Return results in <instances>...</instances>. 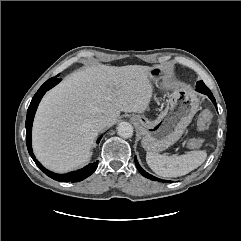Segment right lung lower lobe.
<instances>
[{
  "instance_id": "obj_1",
  "label": "right lung lower lobe",
  "mask_w": 241,
  "mask_h": 241,
  "mask_svg": "<svg viewBox=\"0 0 241 241\" xmlns=\"http://www.w3.org/2000/svg\"><path fill=\"white\" fill-rule=\"evenodd\" d=\"M60 81H61V79H59V78L57 79L56 77L50 78L39 88L37 93L32 98V101H31L28 111H27V117H26V143H27V148H28V152H29L30 156L32 157V159L34 160L36 165L47 176H49L52 179H55L57 181H60V182H79V181H82L83 179L87 178L88 176H90L97 169L98 161H96L94 163H90L89 165H87L84 168L77 170V171H73V172H70L67 174H56V173H53V172L47 170L46 168H44L37 161V159L35 158V156L33 154L32 147H31L32 123H33L34 115H35L36 109L38 107V104H39L41 98L43 97V95L45 94V92L47 90L51 89L52 87H54ZM100 139H101V137L98 139L97 142H99Z\"/></svg>"
}]
</instances>
